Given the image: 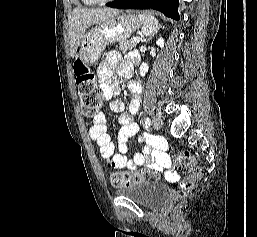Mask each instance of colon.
Returning <instances> with one entry per match:
<instances>
[{"label": "colon", "mask_w": 257, "mask_h": 237, "mask_svg": "<svg viewBox=\"0 0 257 237\" xmlns=\"http://www.w3.org/2000/svg\"><path fill=\"white\" fill-rule=\"evenodd\" d=\"M78 95L81 100L82 113L85 116L95 117L102 103V90L96 82V77L87 66L77 61L74 66ZM175 161L180 168L187 171L179 183V197L184 198L193 188L195 181L201 177L202 168L197 166L193 157L188 152H181L175 156ZM154 177L149 170L136 172H114L110 176L111 184L116 187L129 186L134 183L148 181Z\"/></svg>", "instance_id": "1"}]
</instances>
